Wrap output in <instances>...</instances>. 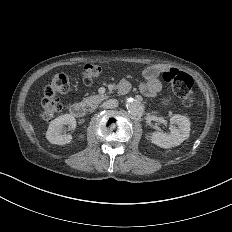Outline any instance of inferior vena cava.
Instances as JSON below:
<instances>
[{"instance_id":"602c4592","label":"inferior vena cava","mask_w":232,"mask_h":232,"mask_svg":"<svg viewBox=\"0 0 232 232\" xmlns=\"http://www.w3.org/2000/svg\"><path fill=\"white\" fill-rule=\"evenodd\" d=\"M118 106V101L116 99H109L102 104L103 108H115Z\"/></svg>"}]
</instances>
